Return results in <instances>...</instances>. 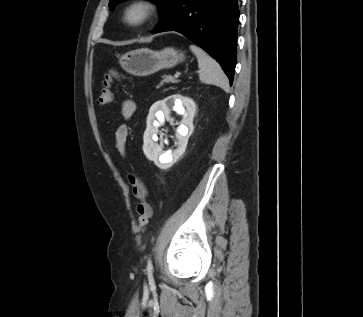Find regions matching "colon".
I'll use <instances>...</instances> for the list:
<instances>
[{
    "label": "colon",
    "mask_w": 363,
    "mask_h": 317,
    "mask_svg": "<svg viewBox=\"0 0 363 317\" xmlns=\"http://www.w3.org/2000/svg\"><path fill=\"white\" fill-rule=\"evenodd\" d=\"M122 75L114 69H111L104 78L103 86L98 93L97 102L101 105H107L113 101L112 84L115 80L121 79ZM130 183L132 185L133 194L139 200L137 211L139 215L138 227L143 230L151 216L152 207L147 200L148 190L143 180L136 174L131 173L129 176Z\"/></svg>",
    "instance_id": "colon-1"
}]
</instances>
